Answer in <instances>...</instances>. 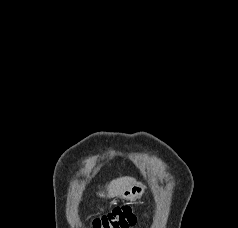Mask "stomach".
Returning <instances> with one entry per match:
<instances>
[{"label": "stomach", "instance_id": "1", "mask_svg": "<svg viewBox=\"0 0 238 228\" xmlns=\"http://www.w3.org/2000/svg\"><path fill=\"white\" fill-rule=\"evenodd\" d=\"M146 186L141 182H135L130 185L122 194L121 198L124 200L133 201L140 198L145 193Z\"/></svg>", "mask_w": 238, "mask_h": 228}]
</instances>
